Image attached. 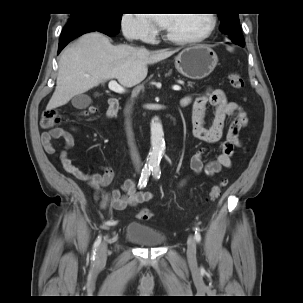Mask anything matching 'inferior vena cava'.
I'll return each mask as SVG.
<instances>
[{"label": "inferior vena cava", "mask_w": 303, "mask_h": 303, "mask_svg": "<svg viewBox=\"0 0 303 303\" xmlns=\"http://www.w3.org/2000/svg\"><path fill=\"white\" fill-rule=\"evenodd\" d=\"M123 33H124V36L127 39H129V40L132 39V34L130 33L129 29H127V28L124 29ZM131 108H132V106L130 104V105H127L126 109H125V114L127 116V119H126L127 128H126V130H127L128 144L130 146L131 158H132V160L135 164L136 169L139 170L141 161H140L139 154H138V151L136 149V146L134 144L133 133H132V130H131V127H130V121H129Z\"/></svg>", "instance_id": "602c4592"}]
</instances>
